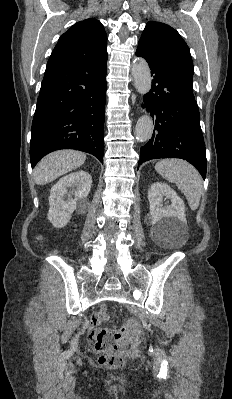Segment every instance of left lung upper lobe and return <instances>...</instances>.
<instances>
[{
    "instance_id": "left-lung-upper-lobe-1",
    "label": "left lung upper lobe",
    "mask_w": 232,
    "mask_h": 399,
    "mask_svg": "<svg viewBox=\"0 0 232 399\" xmlns=\"http://www.w3.org/2000/svg\"><path fill=\"white\" fill-rule=\"evenodd\" d=\"M138 48L160 57L180 75L193 92L194 68L190 50L175 29L161 22H148Z\"/></svg>"
}]
</instances>
